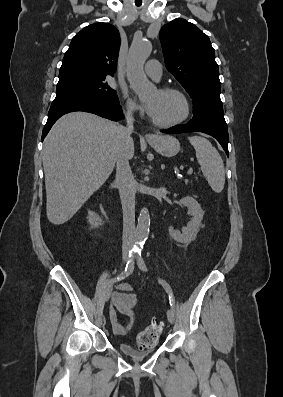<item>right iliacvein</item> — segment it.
Wrapping results in <instances>:
<instances>
[{"instance_id":"obj_1","label":"right iliac vein","mask_w":283,"mask_h":397,"mask_svg":"<svg viewBox=\"0 0 283 397\" xmlns=\"http://www.w3.org/2000/svg\"><path fill=\"white\" fill-rule=\"evenodd\" d=\"M127 260H128V255H127V254H124V255H123V261H122V267L125 265V263L127 262ZM111 292H112V284H110V285L107 287V289H106V301L109 300L110 295H111Z\"/></svg>"}]
</instances>
